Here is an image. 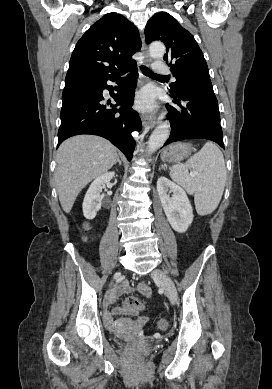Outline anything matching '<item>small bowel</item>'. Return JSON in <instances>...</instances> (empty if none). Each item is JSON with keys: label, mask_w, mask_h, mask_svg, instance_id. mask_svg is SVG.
<instances>
[{"label": "small bowel", "mask_w": 272, "mask_h": 389, "mask_svg": "<svg viewBox=\"0 0 272 389\" xmlns=\"http://www.w3.org/2000/svg\"><path fill=\"white\" fill-rule=\"evenodd\" d=\"M136 290L138 291L141 295L143 296H150L151 295V290L149 288V286L146 284V283H140L138 284L135 288H132L130 287L129 285H122L121 287L117 288L111 295L110 297L107 299L106 301V308L107 310H110L112 312H115V313H120L122 312L123 310L121 308H112V304L115 300V298L123 293H129L133 290ZM148 321V318L147 317H140L138 322L141 323V324H144Z\"/></svg>", "instance_id": "small-bowel-1"}]
</instances>
